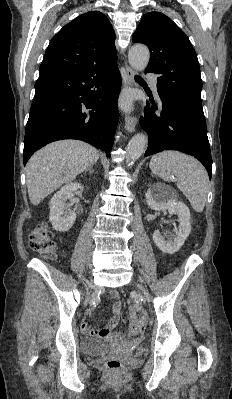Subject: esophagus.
Wrapping results in <instances>:
<instances>
[{
    "mask_svg": "<svg viewBox=\"0 0 232 399\" xmlns=\"http://www.w3.org/2000/svg\"><path fill=\"white\" fill-rule=\"evenodd\" d=\"M135 72L131 67L126 65V81L125 85H132L134 83ZM137 125V117L126 115L125 117V129L128 132H134Z\"/></svg>",
    "mask_w": 232,
    "mask_h": 399,
    "instance_id": "1",
    "label": "esophagus"
}]
</instances>
